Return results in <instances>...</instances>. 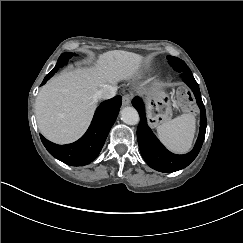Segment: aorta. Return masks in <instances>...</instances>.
I'll use <instances>...</instances> for the list:
<instances>
[{
  "label": "aorta",
  "mask_w": 243,
  "mask_h": 243,
  "mask_svg": "<svg viewBox=\"0 0 243 243\" xmlns=\"http://www.w3.org/2000/svg\"><path fill=\"white\" fill-rule=\"evenodd\" d=\"M122 120L129 126H136L140 122V116L133 107H126L121 111Z\"/></svg>",
  "instance_id": "762f6f07"
}]
</instances>
